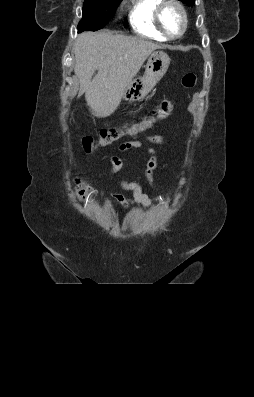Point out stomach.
<instances>
[{
  "label": "stomach",
  "mask_w": 254,
  "mask_h": 397,
  "mask_svg": "<svg viewBox=\"0 0 254 397\" xmlns=\"http://www.w3.org/2000/svg\"><path fill=\"white\" fill-rule=\"evenodd\" d=\"M170 58L164 51H153L148 57L145 72L142 76L132 79L122 93V99L127 102H137L153 89L166 73Z\"/></svg>",
  "instance_id": "1"
}]
</instances>
